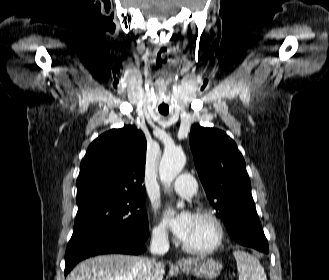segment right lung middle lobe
Instances as JSON below:
<instances>
[{"label":"right lung middle lobe","mask_w":329,"mask_h":280,"mask_svg":"<svg viewBox=\"0 0 329 280\" xmlns=\"http://www.w3.org/2000/svg\"><path fill=\"white\" fill-rule=\"evenodd\" d=\"M145 197L90 196L77 198L78 212L70 241L93 231L139 237L149 231Z\"/></svg>","instance_id":"obj_1"}]
</instances>
